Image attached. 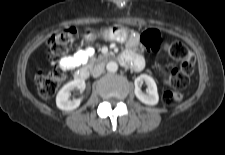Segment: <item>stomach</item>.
<instances>
[{
  "label": "stomach",
  "mask_w": 225,
  "mask_h": 155,
  "mask_svg": "<svg viewBox=\"0 0 225 155\" xmlns=\"http://www.w3.org/2000/svg\"><path fill=\"white\" fill-rule=\"evenodd\" d=\"M103 37L111 40V41H117V42H125L128 38V31L118 25H114L109 27L108 29L104 30L102 33ZM91 37V36H89Z\"/></svg>",
  "instance_id": "obj_1"
}]
</instances>
